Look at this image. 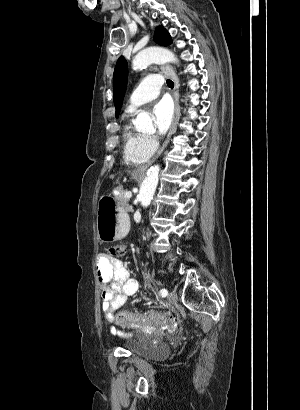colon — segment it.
I'll use <instances>...</instances> for the list:
<instances>
[{"label":"colon","instance_id":"obj_1","mask_svg":"<svg viewBox=\"0 0 300 410\" xmlns=\"http://www.w3.org/2000/svg\"><path fill=\"white\" fill-rule=\"evenodd\" d=\"M127 246L123 244H117L110 246L108 252L113 257H123L127 254ZM174 321V317L171 314H159V313H129L120 312L116 316V322L122 327L132 328L138 326L150 327L153 325H162Z\"/></svg>","mask_w":300,"mask_h":410}]
</instances>
